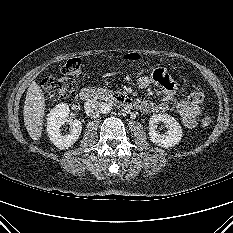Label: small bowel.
Masks as SVG:
<instances>
[{"instance_id":"1","label":"small bowel","mask_w":233,"mask_h":233,"mask_svg":"<svg viewBox=\"0 0 233 233\" xmlns=\"http://www.w3.org/2000/svg\"><path fill=\"white\" fill-rule=\"evenodd\" d=\"M137 83L141 89H147L154 83L162 89L165 95V99L159 102H154L145 98L138 99L136 104L140 110L147 113H156L165 112L170 109V100L176 93L178 83L166 69L157 68L153 71L151 76L140 77ZM174 107L184 126L187 128H194L200 113L199 106L187 100H180L175 103Z\"/></svg>"}]
</instances>
